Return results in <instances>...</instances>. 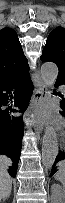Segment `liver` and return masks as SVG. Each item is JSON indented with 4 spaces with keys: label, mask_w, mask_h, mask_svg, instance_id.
Here are the masks:
<instances>
[{
    "label": "liver",
    "mask_w": 65,
    "mask_h": 203,
    "mask_svg": "<svg viewBox=\"0 0 65 203\" xmlns=\"http://www.w3.org/2000/svg\"><path fill=\"white\" fill-rule=\"evenodd\" d=\"M12 161L7 156H0V199L4 200L10 196L12 190V180L7 172Z\"/></svg>",
    "instance_id": "6515ba94"
}]
</instances>
